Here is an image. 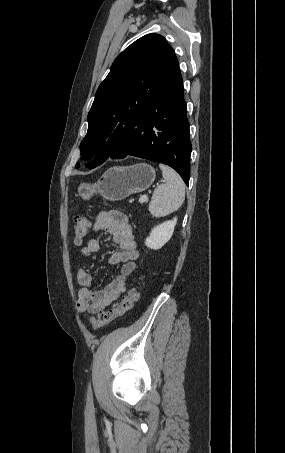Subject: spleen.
<instances>
[{
  "label": "spleen",
  "mask_w": 285,
  "mask_h": 453,
  "mask_svg": "<svg viewBox=\"0 0 285 453\" xmlns=\"http://www.w3.org/2000/svg\"><path fill=\"white\" fill-rule=\"evenodd\" d=\"M166 183L153 192L149 212L154 217H163L175 212L184 202L185 185L182 178L172 168L159 165Z\"/></svg>",
  "instance_id": "spleen-1"
}]
</instances>
